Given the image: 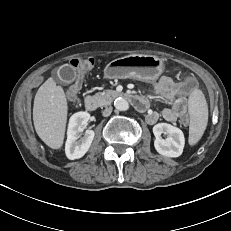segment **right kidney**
Here are the masks:
<instances>
[{"instance_id":"right-kidney-1","label":"right kidney","mask_w":231,"mask_h":231,"mask_svg":"<svg viewBox=\"0 0 231 231\" xmlns=\"http://www.w3.org/2000/svg\"><path fill=\"white\" fill-rule=\"evenodd\" d=\"M90 118L87 112H78L71 116L67 131L65 153L68 159L75 160L83 157L89 150L94 139L93 130H86L84 136L79 139Z\"/></svg>"}]
</instances>
